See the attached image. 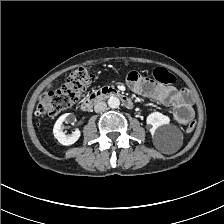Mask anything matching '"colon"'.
I'll return each instance as SVG.
<instances>
[{"label":"colon","mask_w":224,"mask_h":224,"mask_svg":"<svg viewBox=\"0 0 224 224\" xmlns=\"http://www.w3.org/2000/svg\"><path fill=\"white\" fill-rule=\"evenodd\" d=\"M152 74L158 82L164 84H174L176 82L175 76L163 67L155 68ZM91 78L92 75L88 68L78 67L74 69L62 87L46 92L41 96L37 107V114L51 117L72 107L90 84ZM195 126V121H191L186 130L191 132Z\"/></svg>","instance_id":"colon-1"}]
</instances>
